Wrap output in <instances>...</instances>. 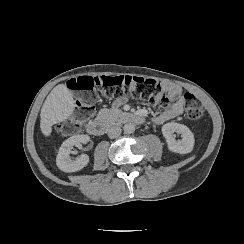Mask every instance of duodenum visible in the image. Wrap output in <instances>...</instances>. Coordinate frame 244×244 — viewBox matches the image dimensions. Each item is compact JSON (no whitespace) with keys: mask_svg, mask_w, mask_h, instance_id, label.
Listing matches in <instances>:
<instances>
[{"mask_svg":"<svg viewBox=\"0 0 244 244\" xmlns=\"http://www.w3.org/2000/svg\"><path fill=\"white\" fill-rule=\"evenodd\" d=\"M118 122L142 124L145 122V117L138 113H125L117 118H104L102 120H94L88 123L87 132L90 135L100 137L112 129Z\"/></svg>","mask_w":244,"mask_h":244,"instance_id":"1","label":"duodenum"}]
</instances>
